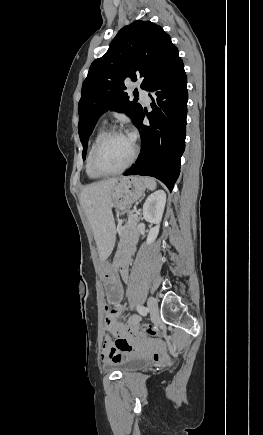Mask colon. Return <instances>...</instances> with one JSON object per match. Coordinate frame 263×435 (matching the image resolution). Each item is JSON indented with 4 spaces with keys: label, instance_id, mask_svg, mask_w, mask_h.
Returning a JSON list of instances; mask_svg holds the SVG:
<instances>
[{
    "label": "colon",
    "instance_id": "colon-1",
    "mask_svg": "<svg viewBox=\"0 0 263 435\" xmlns=\"http://www.w3.org/2000/svg\"><path fill=\"white\" fill-rule=\"evenodd\" d=\"M142 332H147L149 335L151 336H156L158 335L160 332L155 328L152 327L150 324H141L139 326ZM130 341H133L132 339ZM149 343H154V341H149ZM159 343H162V340H157V345H158V349H163V348H159ZM101 344H102V348L104 350H111L113 348V343L111 342V340L108 337L102 338L101 339ZM147 349V348H145ZM152 349H156V344H154V348ZM160 355H163L165 358V354L162 352H159Z\"/></svg>",
    "mask_w": 263,
    "mask_h": 435
}]
</instances>
